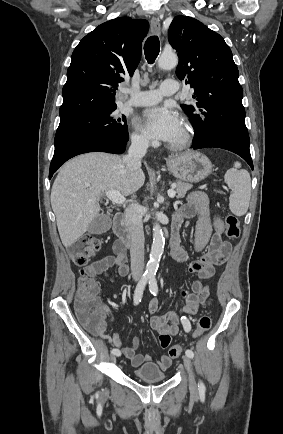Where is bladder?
Instances as JSON below:
<instances>
[{
    "mask_svg": "<svg viewBox=\"0 0 283 434\" xmlns=\"http://www.w3.org/2000/svg\"><path fill=\"white\" fill-rule=\"evenodd\" d=\"M133 375L135 379L142 382H161L167 379V374L153 363L135 369Z\"/></svg>",
    "mask_w": 283,
    "mask_h": 434,
    "instance_id": "bladder-1",
    "label": "bladder"
}]
</instances>
